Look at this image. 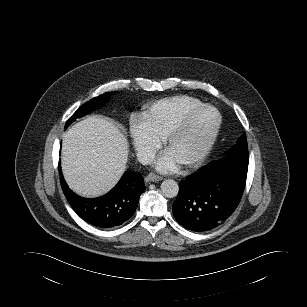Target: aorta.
<instances>
[{
    "instance_id": "obj_1",
    "label": "aorta",
    "mask_w": 307,
    "mask_h": 307,
    "mask_svg": "<svg viewBox=\"0 0 307 307\" xmlns=\"http://www.w3.org/2000/svg\"><path fill=\"white\" fill-rule=\"evenodd\" d=\"M161 192L165 197L174 198L179 192L178 183L173 179H166L161 183Z\"/></svg>"
}]
</instances>
